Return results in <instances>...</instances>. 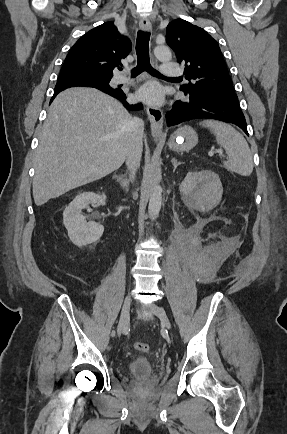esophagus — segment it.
Returning a JSON list of instances; mask_svg holds the SVG:
<instances>
[{
    "instance_id": "obj_1",
    "label": "esophagus",
    "mask_w": 287,
    "mask_h": 434,
    "mask_svg": "<svg viewBox=\"0 0 287 434\" xmlns=\"http://www.w3.org/2000/svg\"><path fill=\"white\" fill-rule=\"evenodd\" d=\"M139 27L143 31H151L152 29V25L146 17L140 19ZM146 111L151 124L152 135L155 138H159L163 128V112L160 108L154 106H148Z\"/></svg>"
}]
</instances>
